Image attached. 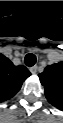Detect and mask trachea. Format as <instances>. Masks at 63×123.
<instances>
[{
  "label": "trachea",
  "instance_id": "obj_1",
  "mask_svg": "<svg viewBox=\"0 0 63 123\" xmlns=\"http://www.w3.org/2000/svg\"><path fill=\"white\" fill-rule=\"evenodd\" d=\"M24 63L28 67L34 66L36 63V56L33 53L26 54L25 59H24Z\"/></svg>",
  "mask_w": 63,
  "mask_h": 123
}]
</instances>
